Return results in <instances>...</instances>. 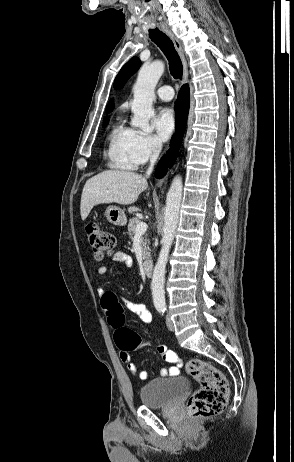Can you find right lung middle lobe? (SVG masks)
Masks as SVG:
<instances>
[{
    "instance_id": "right-lung-middle-lobe-1",
    "label": "right lung middle lobe",
    "mask_w": 294,
    "mask_h": 462,
    "mask_svg": "<svg viewBox=\"0 0 294 462\" xmlns=\"http://www.w3.org/2000/svg\"><path fill=\"white\" fill-rule=\"evenodd\" d=\"M106 123H107V119H105V121H104V124H105V125H106Z\"/></svg>"
}]
</instances>
